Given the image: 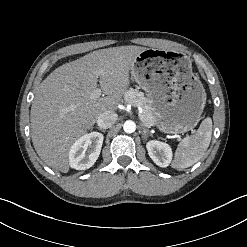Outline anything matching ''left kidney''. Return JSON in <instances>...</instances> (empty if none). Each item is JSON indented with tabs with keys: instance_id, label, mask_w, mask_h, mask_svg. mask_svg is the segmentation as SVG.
Listing matches in <instances>:
<instances>
[{
	"instance_id": "left-kidney-1",
	"label": "left kidney",
	"mask_w": 247,
	"mask_h": 247,
	"mask_svg": "<svg viewBox=\"0 0 247 247\" xmlns=\"http://www.w3.org/2000/svg\"><path fill=\"white\" fill-rule=\"evenodd\" d=\"M146 148L150 158L160 167H167L172 160L171 147L163 142L151 140L147 142Z\"/></svg>"
}]
</instances>
